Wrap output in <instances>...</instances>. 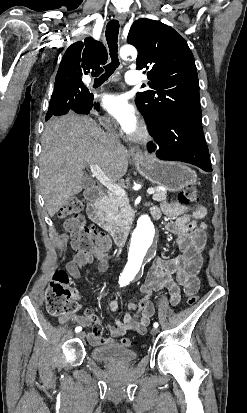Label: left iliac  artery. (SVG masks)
<instances>
[{
    "mask_svg": "<svg viewBox=\"0 0 247 413\" xmlns=\"http://www.w3.org/2000/svg\"><path fill=\"white\" fill-rule=\"evenodd\" d=\"M153 326H154L155 328H157L159 325H158L157 322H155V323L153 324Z\"/></svg>",
    "mask_w": 247,
    "mask_h": 413,
    "instance_id": "obj_1",
    "label": "left iliac artery"
}]
</instances>
